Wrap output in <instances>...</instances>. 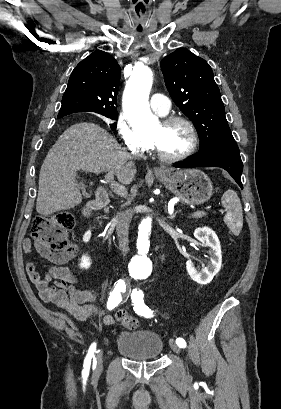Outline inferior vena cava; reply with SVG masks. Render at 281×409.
Here are the masks:
<instances>
[{
	"mask_svg": "<svg viewBox=\"0 0 281 409\" xmlns=\"http://www.w3.org/2000/svg\"><path fill=\"white\" fill-rule=\"evenodd\" d=\"M131 223L130 215L126 213H120L116 219V233L118 237L119 247L123 253V257H126L128 251V235L129 227Z\"/></svg>",
	"mask_w": 281,
	"mask_h": 409,
	"instance_id": "inferior-vena-cava-1",
	"label": "inferior vena cava"
}]
</instances>
